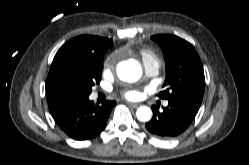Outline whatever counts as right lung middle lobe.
Masks as SVG:
<instances>
[{
    "mask_svg": "<svg viewBox=\"0 0 249 165\" xmlns=\"http://www.w3.org/2000/svg\"><path fill=\"white\" fill-rule=\"evenodd\" d=\"M103 69V58L76 56L68 59L63 69L64 85L71 96L86 97L92 86L99 83Z\"/></svg>",
    "mask_w": 249,
    "mask_h": 165,
    "instance_id": "dd1d6c3e",
    "label": "right lung middle lobe"
}]
</instances>
